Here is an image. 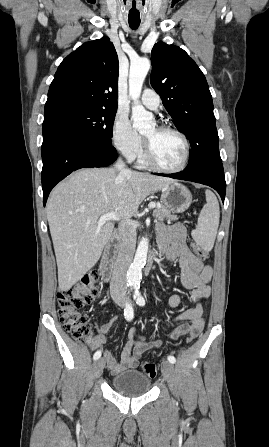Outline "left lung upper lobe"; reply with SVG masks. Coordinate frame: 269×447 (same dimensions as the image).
<instances>
[{"instance_id":"obj_1","label":"left lung upper lobe","mask_w":269,"mask_h":447,"mask_svg":"<svg viewBox=\"0 0 269 447\" xmlns=\"http://www.w3.org/2000/svg\"><path fill=\"white\" fill-rule=\"evenodd\" d=\"M151 62V85L191 144L185 170L221 163L212 96L202 71L184 50L163 42L154 45Z\"/></svg>"}]
</instances>
